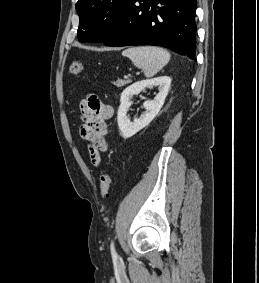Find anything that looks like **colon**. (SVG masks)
Returning <instances> with one entry per match:
<instances>
[{"instance_id": "colon-1", "label": "colon", "mask_w": 259, "mask_h": 283, "mask_svg": "<svg viewBox=\"0 0 259 283\" xmlns=\"http://www.w3.org/2000/svg\"><path fill=\"white\" fill-rule=\"evenodd\" d=\"M85 71V65L82 62L74 61L69 66V73L77 76ZM111 176L109 173H104L100 181V195L103 199H107L110 195Z\"/></svg>"}]
</instances>
